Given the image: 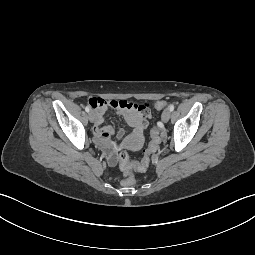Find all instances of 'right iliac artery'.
<instances>
[{
	"label": "right iliac artery",
	"instance_id": "obj_1",
	"mask_svg": "<svg viewBox=\"0 0 255 255\" xmlns=\"http://www.w3.org/2000/svg\"><path fill=\"white\" fill-rule=\"evenodd\" d=\"M85 111L86 112H89L90 111V108L88 106L85 107Z\"/></svg>",
	"mask_w": 255,
	"mask_h": 255
}]
</instances>
